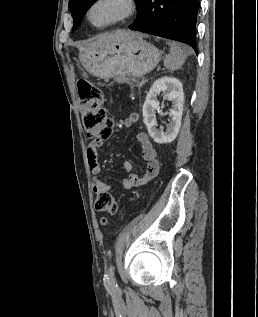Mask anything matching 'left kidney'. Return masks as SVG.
<instances>
[{
    "mask_svg": "<svg viewBox=\"0 0 258 317\" xmlns=\"http://www.w3.org/2000/svg\"><path fill=\"white\" fill-rule=\"evenodd\" d=\"M164 90L167 94H164L167 100H172L173 108L169 112L171 116V122L167 124V128L164 130H158L156 128L157 122L155 118V110L159 106L157 100V94ZM184 106V94L182 82L174 76H162L153 82L143 104V120L148 128V132L155 142H172L176 138L179 128L181 126V118L183 114Z\"/></svg>",
    "mask_w": 258,
    "mask_h": 317,
    "instance_id": "obj_1",
    "label": "left kidney"
}]
</instances>
